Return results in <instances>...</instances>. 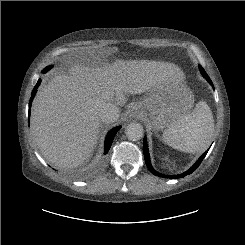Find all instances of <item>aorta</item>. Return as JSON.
Here are the masks:
<instances>
[{
    "label": "aorta",
    "mask_w": 245,
    "mask_h": 245,
    "mask_svg": "<svg viewBox=\"0 0 245 245\" xmlns=\"http://www.w3.org/2000/svg\"><path fill=\"white\" fill-rule=\"evenodd\" d=\"M143 127L139 123H130L125 128V134L131 141L140 140L143 137Z\"/></svg>",
    "instance_id": "1"
}]
</instances>
